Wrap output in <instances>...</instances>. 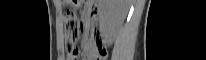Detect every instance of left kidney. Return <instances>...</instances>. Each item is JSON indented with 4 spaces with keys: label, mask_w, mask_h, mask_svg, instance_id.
<instances>
[{
    "label": "left kidney",
    "mask_w": 206,
    "mask_h": 60,
    "mask_svg": "<svg viewBox=\"0 0 206 60\" xmlns=\"http://www.w3.org/2000/svg\"><path fill=\"white\" fill-rule=\"evenodd\" d=\"M100 31L110 40L128 13L127 0H100L98 5Z\"/></svg>",
    "instance_id": "5707ae66"
}]
</instances>
